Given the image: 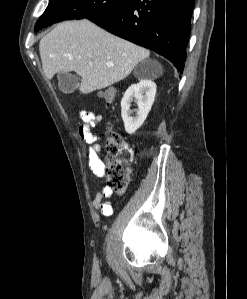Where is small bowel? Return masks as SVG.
I'll return each instance as SVG.
<instances>
[{"instance_id":"obj_1","label":"small bowel","mask_w":247,"mask_h":299,"mask_svg":"<svg viewBox=\"0 0 247 299\" xmlns=\"http://www.w3.org/2000/svg\"><path fill=\"white\" fill-rule=\"evenodd\" d=\"M80 115L82 123L79 126V135L90 145L88 150V166L94 174L100 175L103 169V162L99 156L101 150L100 139L93 133L92 129L103 119V116L88 111H82ZM111 194L112 192L109 187L100 185L93 200L95 208L99 209L104 216H110L113 213L112 204L109 201H105Z\"/></svg>"}]
</instances>
